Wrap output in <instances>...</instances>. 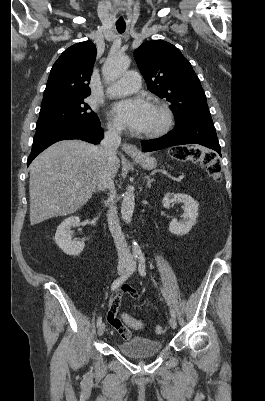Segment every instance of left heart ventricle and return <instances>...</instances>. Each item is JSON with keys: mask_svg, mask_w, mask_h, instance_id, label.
I'll use <instances>...</instances> for the list:
<instances>
[{"mask_svg": "<svg viewBox=\"0 0 265 401\" xmlns=\"http://www.w3.org/2000/svg\"><path fill=\"white\" fill-rule=\"evenodd\" d=\"M160 122V112L153 106H151L149 114L147 116L146 124L143 131H150L158 126Z\"/></svg>", "mask_w": 265, "mask_h": 401, "instance_id": "obj_1", "label": "left heart ventricle"}]
</instances>
